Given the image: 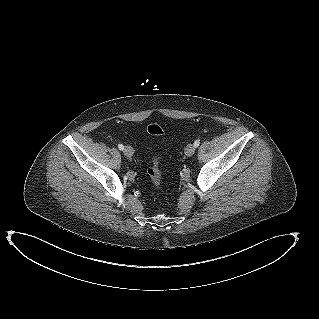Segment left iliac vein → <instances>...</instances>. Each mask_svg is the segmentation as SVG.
<instances>
[{
  "instance_id": "left-iliac-vein-1",
  "label": "left iliac vein",
  "mask_w": 319,
  "mask_h": 319,
  "mask_svg": "<svg viewBox=\"0 0 319 319\" xmlns=\"http://www.w3.org/2000/svg\"><path fill=\"white\" fill-rule=\"evenodd\" d=\"M196 147L193 144H188L185 149V154L190 157L195 153Z\"/></svg>"
}]
</instances>
